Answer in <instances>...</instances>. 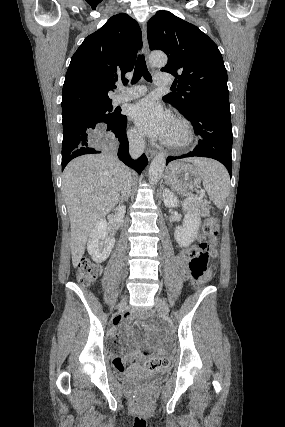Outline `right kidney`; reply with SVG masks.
I'll return each instance as SVG.
<instances>
[{
    "label": "right kidney",
    "instance_id": "1",
    "mask_svg": "<svg viewBox=\"0 0 285 427\" xmlns=\"http://www.w3.org/2000/svg\"><path fill=\"white\" fill-rule=\"evenodd\" d=\"M116 210L114 220L120 222L124 217L125 207L119 206ZM114 244L115 239L108 235L107 221L105 218H101L90 233L87 243L88 253L96 263H102L109 257Z\"/></svg>",
    "mask_w": 285,
    "mask_h": 427
}]
</instances>
